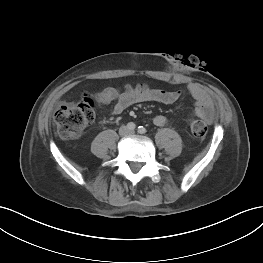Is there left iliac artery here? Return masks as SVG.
<instances>
[{"label":"left iliac artery","instance_id":"obj_1","mask_svg":"<svg viewBox=\"0 0 263 263\" xmlns=\"http://www.w3.org/2000/svg\"><path fill=\"white\" fill-rule=\"evenodd\" d=\"M138 132H139L140 134H145V133H146L145 127L139 126V127H138Z\"/></svg>","mask_w":263,"mask_h":263}]
</instances>
